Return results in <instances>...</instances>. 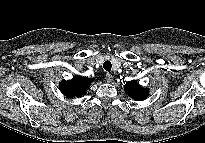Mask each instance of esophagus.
<instances>
[{"mask_svg":"<svg viewBox=\"0 0 205 143\" xmlns=\"http://www.w3.org/2000/svg\"><path fill=\"white\" fill-rule=\"evenodd\" d=\"M106 79L108 82H112L113 81V76L110 73L106 74Z\"/></svg>","mask_w":205,"mask_h":143,"instance_id":"34e87169","label":"esophagus"}]
</instances>
